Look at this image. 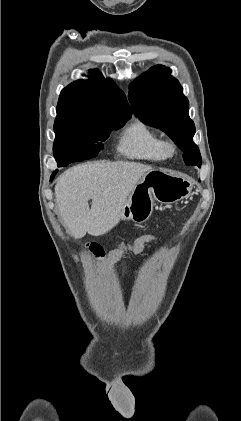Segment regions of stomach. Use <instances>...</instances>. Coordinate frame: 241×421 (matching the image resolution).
I'll list each match as a JSON object with an SVG mask.
<instances>
[{"label": "stomach", "mask_w": 241, "mask_h": 421, "mask_svg": "<svg viewBox=\"0 0 241 421\" xmlns=\"http://www.w3.org/2000/svg\"><path fill=\"white\" fill-rule=\"evenodd\" d=\"M192 187V181L185 176L161 168L152 169L134 187L120 212V219L146 222L153 212L154 200L161 204L177 203L190 196Z\"/></svg>", "instance_id": "1"}]
</instances>
